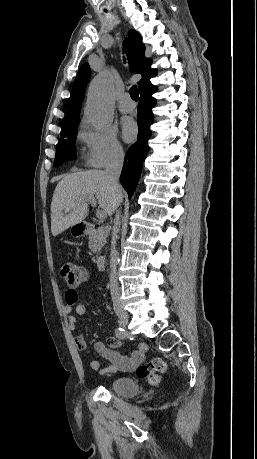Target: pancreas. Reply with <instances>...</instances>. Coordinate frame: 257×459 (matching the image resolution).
I'll use <instances>...</instances> for the list:
<instances>
[{
	"instance_id": "obj_1",
	"label": "pancreas",
	"mask_w": 257,
	"mask_h": 459,
	"mask_svg": "<svg viewBox=\"0 0 257 459\" xmlns=\"http://www.w3.org/2000/svg\"><path fill=\"white\" fill-rule=\"evenodd\" d=\"M109 231L110 226H101L91 233L89 237V248L93 253L98 254V252L104 246L109 235Z\"/></svg>"
}]
</instances>
